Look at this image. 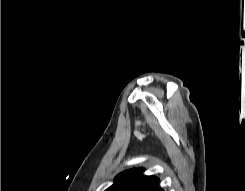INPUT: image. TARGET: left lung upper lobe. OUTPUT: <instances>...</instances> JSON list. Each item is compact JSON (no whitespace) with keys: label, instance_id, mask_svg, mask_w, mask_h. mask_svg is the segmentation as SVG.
<instances>
[{"label":"left lung upper lobe","instance_id":"obj_1","mask_svg":"<svg viewBox=\"0 0 245 191\" xmlns=\"http://www.w3.org/2000/svg\"><path fill=\"white\" fill-rule=\"evenodd\" d=\"M143 172L142 167L121 172L106 191H162L159 178L145 175Z\"/></svg>","mask_w":245,"mask_h":191}]
</instances>
